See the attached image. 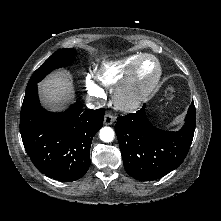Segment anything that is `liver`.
Here are the masks:
<instances>
[{"instance_id": "obj_1", "label": "liver", "mask_w": 221, "mask_h": 221, "mask_svg": "<svg viewBox=\"0 0 221 221\" xmlns=\"http://www.w3.org/2000/svg\"><path fill=\"white\" fill-rule=\"evenodd\" d=\"M41 100L51 109L64 107L73 98V82L68 73L57 71L39 84Z\"/></svg>"}]
</instances>
